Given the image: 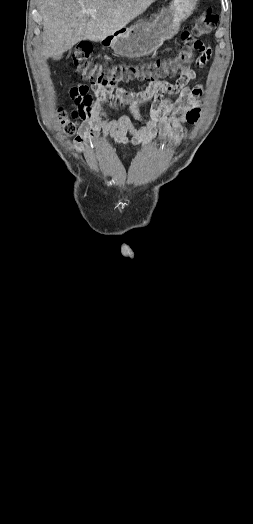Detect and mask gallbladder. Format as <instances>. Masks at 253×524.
Masks as SVG:
<instances>
[{"mask_svg":"<svg viewBox=\"0 0 253 524\" xmlns=\"http://www.w3.org/2000/svg\"><path fill=\"white\" fill-rule=\"evenodd\" d=\"M52 58L54 61H59L62 58V53H57Z\"/></svg>","mask_w":253,"mask_h":524,"instance_id":"gallbladder-1","label":"gallbladder"}]
</instances>
